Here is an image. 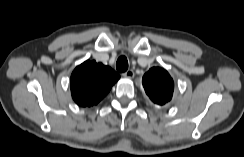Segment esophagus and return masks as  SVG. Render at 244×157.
<instances>
[{"label":"esophagus","mask_w":244,"mask_h":157,"mask_svg":"<svg viewBox=\"0 0 244 157\" xmlns=\"http://www.w3.org/2000/svg\"><path fill=\"white\" fill-rule=\"evenodd\" d=\"M135 75L134 71L132 69L127 70L126 72L122 73V76L125 78H133Z\"/></svg>","instance_id":"34e87169"}]
</instances>
